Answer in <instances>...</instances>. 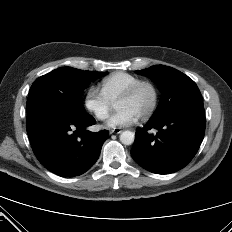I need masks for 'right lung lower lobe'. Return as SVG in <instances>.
Here are the masks:
<instances>
[{
  "label": "right lung lower lobe",
  "instance_id": "right-lung-lower-lobe-1",
  "mask_svg": "<svg viewBox=\"0 0 232 232\" xmlns=\"http://www.w3.org/2000/svg\"><path fill=\"white\" fill-rule=\"evenodd\" d=\"M95 124L87 114L53 109H36L28 113L27 133L39 162L62 177L85 173L97 161L108 131L90 132Z\"/></svg>",
  "mask_w": 232,
  "mask_h": 232
}]
</instances>
